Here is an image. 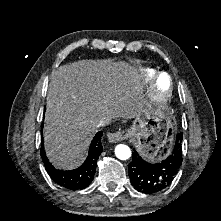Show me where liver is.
Instances as JSON below:
<instances>
[{
    "mask_svg": "<svg viewBox=\"0 0 221 221\" xmlns=\"http://www.w3.org/2000/svg\"><path fill=\"white\" fill-rule=\"evenodd\" d=\"M140 93L138 71L126 62L80 60L60 66L50 79L44 120L50 162L59 169L78 167L97 122L133 118Z\"/></svg>",
    "mask_w": 221,
    "mask_h": 221,
    "instance_id": "obj_1",
    "label": "liver"
}]
</instances>
